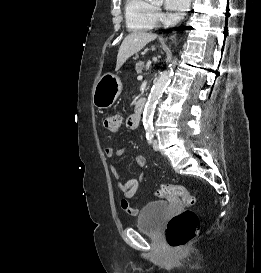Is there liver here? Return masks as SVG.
<instances>
[{
    "label": "liver",
    "mask_w": 261,
    "mask_h": 273,
    "mask_svg": "<svg viewBox=\"0 0 261 273\" xmlns=\"http://www.w3.org/2000/svg\"><path fill=\"white\" fill-rule=\"evenodd\" d=\"M157 38L156 34L135 32L125 37L117 55L116 70L129 59L132 55L142 50L149 42Z\"/></svg>",
    "instance_id": "6515ba94"
}]
</instances>
